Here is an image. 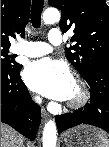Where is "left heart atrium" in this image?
I'll use <instances>...</instances> for the list:
<instances>
[{"label":"left heart atrium","instance_id":"obj_1","mask_svg":"<svg viewBox=\"0 0 109 147\" xmlns=\"http://www.w3.org/2000/svg\"><path fill=\"white\" fill-rule=\"evenodd\" d=\"M24 80L29 88L50 99H69L74 83L66 63L44 58L29 63L24 70Z\"/></svg>","mask_w":109,"mask_h":147}]
</instances>
